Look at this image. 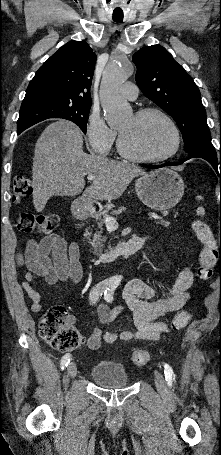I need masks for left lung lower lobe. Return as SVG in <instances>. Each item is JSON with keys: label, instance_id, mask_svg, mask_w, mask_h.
Instances as JSON below:
<instances>
[{"label": "left lung lower lobe", "instance_id": "1", "mask_svg": "<svg viewBox=\"0 0 221 455\" xmlns=\"http://www.w3.org/2000/svg\"><path fill=\"white\" fill-rule=\"evenodd\" d=\"M195 157H199V158H203V159L207 160L213 166V168L215 169V171L217 172L218 175H219V170H220V178H221V156H220V161H219V159L217 158V153H216L215 149L196 148V149L188 152L187 159L195 158ZM182 162H178V163L168 162V163L161 164V165L146 166V167L150 168V169H158V168H162L165 166L179 165Z\"/></svg>", "mask_w": 221, "mask_h": 455}]
</instances>
